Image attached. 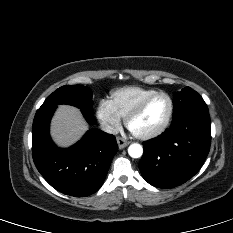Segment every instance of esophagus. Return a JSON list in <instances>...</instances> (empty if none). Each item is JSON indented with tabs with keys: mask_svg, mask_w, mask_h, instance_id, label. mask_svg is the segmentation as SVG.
Listing matches in <instances>:
<instances>
[{
	"mask_svg": "<svg viewBox=\"0 0 233 233\" xmlns=\"http://www.w3.org/2000/svg\"><path fill=\"white\" fill-rule=\"evenodd\" d=\"M129 143H130L129 141H127V140H125V139H123L121 137H117V144H118V147L120 149L125 148L126 146L129 145Z\"/></svg>",
	"mask_w": 233,
	"mask_h": 233,
	"instance_id": "1",
	"label": "esophagus"
}]
</instances>
